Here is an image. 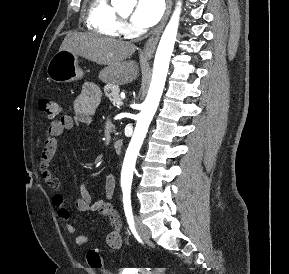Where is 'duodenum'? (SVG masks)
<instances>
[{
  "label": "duodenum",
  "instance_id": "410a0bca",
  "mask_svg": "<svg viewBox=\"0 0 289 274\" xmlns=\"http://www.w3.org/2000/svg\"><path fill=\"white\" fill-rule=\"evenodd\" d=\"M122 147H123V141L122 140L117 139L113 142V148H114L115 152H117V153L121 152Z\"/></svg>",
  "mask_w": 289,
  "mask_h": 274
}]
</instances>
